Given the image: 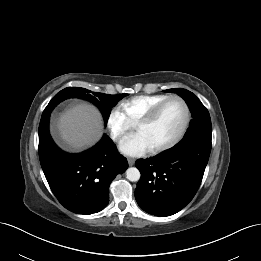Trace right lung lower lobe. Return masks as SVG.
<instances>
[{
    "mask_svg": "<svg viewBox=\"0 0 261 261\" xmlns=\"http://www.w3.org/2000/svg\"><path fill=\"white\" fill-rule=\"evenodd\" d=\"M51 111L44 110L38 130L39 158L48 184L66 209L77 214L97 213L107 206L110 183L128 168L127 160L107 135L83 153L62 151L49 133Z\"/></svg>",
    "mask_w": 261,
    "mask_h": 261,
    "instance_id": "1",
    "label": "right lung lower lobe"
}]
</instances>
